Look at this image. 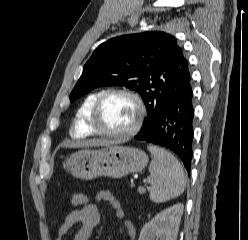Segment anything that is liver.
<instances>
[{
    "instance_id": "obj_1",
    "label": "liver",
    "mask_w": 248,
    "mask_h": 240,
    "mask_svg": "<svg viewBox=\"0 0 248 240\" xmlns=\"http://www.w3.org/2000/svg\"><path fill=\"white\" fill-rule=\"evenodd\" d=\"M111 142L106 141V140H98V139H94V140H90L87 142H84L82 144H71V145H67L69 147H77V146H105V145H109Z\"/></svg>"
}]
</instances>
